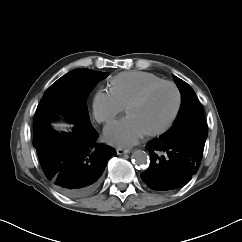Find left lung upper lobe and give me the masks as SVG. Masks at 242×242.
Instances as JSON below:
<instances>
[{
    "mask_svg": "<svg viewBox=\"0 0 242 242\" xmlns=\"http://www.w3.org/2000/svg\"><path fill=\"white\" fill-rule=\"evenodd\" d=\"M174 80L181 93V107L172 127L162 136L171 140H206L204 112L194 90L180 78L174 76Z\"/></svg>",
    "mask_w": 242,
    "mask_h": 242,
    "instance_id": "left-lung-upper-lobe-1",
    "label": "left lung upper lobe"
}]
</instances>
